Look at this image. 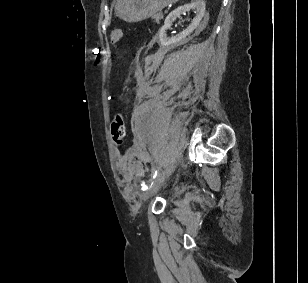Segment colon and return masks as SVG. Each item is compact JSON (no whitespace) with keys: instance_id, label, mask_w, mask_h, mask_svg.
I'll return each mask as SVG.
<instances>
[{"instance_id":"5ec220e1","label":"colon","mask_w":308,"mask_h":283,"mask_svg":"<svg viewBox=\"0 0 308 283\" xmlns=\"http://www.w3.org/2000/svg\"><path fill=\"white\" fill-rule=\"evenodd\" d=\"M123 38V30L120 28L112 29L110 32V39L113 44H117ZM112 140L117 145H122L126 137V125L123 116L118 113L112 119L111 125Z\"/></svg>"}]
</instances>
